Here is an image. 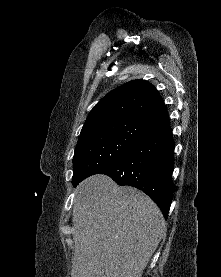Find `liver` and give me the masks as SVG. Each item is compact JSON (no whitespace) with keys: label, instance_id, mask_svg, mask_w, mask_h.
Returning a JSON list of instances; mask_svg holds the SVG:
<instances>
[{"label":"liver","instance_id":"1","mask_svg":"<svg viewBox=\"0 0 221 277\" xmlns=\"http://www.w3.org/2000/svg\"><path fill=\"white\" fill-rule=\"evenodd\" d=\"M72 277H142L166 232L146 194L93 175L75 189Z\"/></svg>","mask_w":221,"mask_h":277}]
</instances>
